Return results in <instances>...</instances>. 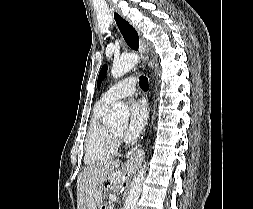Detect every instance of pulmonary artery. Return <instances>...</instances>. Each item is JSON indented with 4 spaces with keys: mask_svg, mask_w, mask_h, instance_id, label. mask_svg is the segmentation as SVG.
Here are the masks:
<instances>
[{
    "mask_svg": "<svg viewBox=\"0 0 253 209\" xmlns=\"http://www.w3.org/2000/svg\"><path fill=\"white\" fill-rule=\"evenodd\" d=\"M136 80L133 77L125 78L105 91L101 96V101L112 103L116 100L131 96L135 91Z\"/></svg>",
    "mask_w": 253,
    "mask_h": 209,
    "instance_id": "obj_1",
    "label": "pulmonary artery"
}]
</instances>
